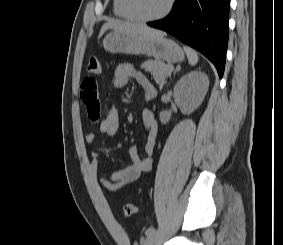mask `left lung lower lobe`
Masks as SVG:
<instances>
[{"label":"left lung lower lobe","instance_id":"0a47b994","mask_svg":"<svg viewBox=\"0 0 283 245\" xmlns=\"http://www.w3.org/2000/svg\"><path fill=\"white\" fill-rule=\"evenodd\" d=\"M230 0H176L170 14L148 22L197 49L224 73Z\"/></svg>","mask_w":283,"mask_h":245}]
</instances>
